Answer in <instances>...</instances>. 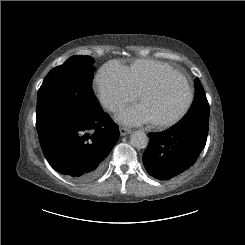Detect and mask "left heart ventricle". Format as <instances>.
<instances>
[{
    "label": "left heart ventricle",
    "instance_id": "1",
    "mask_svg": "<svg viewBox=\"0 0 245 245\" xmlns=\"http://www.w3.org/2000/svg\"><path fill=\"white\" fill-rule=\"evenodd\" d=\"M188 98L189 92L184 80L178 76H169L162 81L158 91L145 96L140 103L151 121H161L178 114Z\"/></svg>",
    "mask_w": 245,
    "mask_h": 245
}]
</instances>
